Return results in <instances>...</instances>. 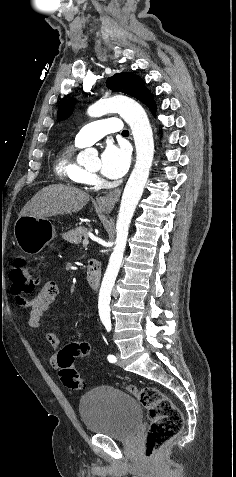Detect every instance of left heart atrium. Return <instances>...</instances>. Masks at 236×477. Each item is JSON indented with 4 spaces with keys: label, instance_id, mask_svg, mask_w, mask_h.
Wrapping results in <instances>:
<instances>
[{
    "label": "left heart atrium",
    "instance_id": "1",
    "mask_svg": "<svg viewBox=\"0 0 236 477\" xmlns=\"http://www.w3.org/2000/svg\"><path fill=\"white\" fill-rule=\"evenodd\" d=\"M130 164V156L125 147L108 143L101 155L99 168L101 173L111 179L123 176Z\"/></svg>",
    "mask_w": 236,
    "mask_h": 477
}]
</instances>
